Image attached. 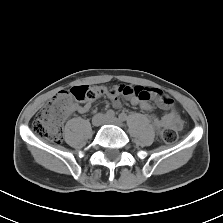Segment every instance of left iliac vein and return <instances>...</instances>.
I'll list each match as a JSON object with an SVG mask.
<instances>
[{
    "label": "left iliac vein",
    "mask_w": 223,
    "mask_h": 223,
    "mask_svg": "<svg viewBox=\"0 0 223 223\" xmlns=\"http://www.w3.org/2000/svg\"><path fill=\"white\" fill-rule=\"evenodd\" d=\"M103 123H105V124H112V125H116V126H119V127L123 126V121L118 119V118H116V117L105 118Z\"/></svg>",
    "instance_id": "obj_1"
}]
</instances>
